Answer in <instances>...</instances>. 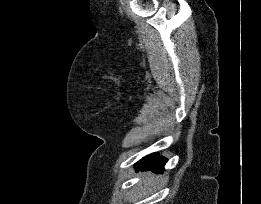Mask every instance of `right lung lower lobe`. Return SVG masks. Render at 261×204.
<instances>
[{"mask_svg":"<svg viewBox=\"0 0 261 204\" xmlns=\"http://www.w3.org/2000/svg\"><path fill=\"white\" fill-rule=\"evenodd\" d=\"M166 159L160 157V156H157L155 154H151V155H148L144 158H142L137 164V168L138 169H143V170H153V171H156V172H162L164 169H163V166L165 165L166 163Z\"/></svg>","mask_w":261,"mask_h":204,"instance_id":"right-lung-lower-lobe-1","label":"right lung lower lobe"}]
</instances>
